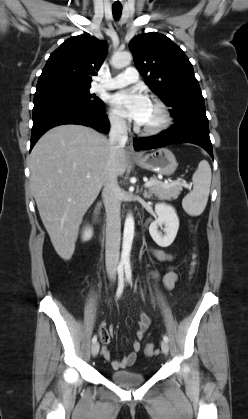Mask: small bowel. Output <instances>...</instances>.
<instances>
[{"instance_id":"obj_1","label":"small bowel","mask_w":248,"mask_h":419,"mask_svg":"<svg viewBox=\"0 0 248 419\" xmlns=\"http://www.w3.org/2000/svg\"><path fill=\"white\" fill-rule=\"evenodd\" d=\"M151 253L157 260L161 262H170L174 259V256L171 253L166 252L161 249H152ZM154 275L157 278L159 277L158 273H155ZM161 279L164 285L166 286V288L172 289L175 283L177 282L178 275L172 267H169L165 271V273L162 275ZM150 324H151L150 316L144 312H141L139 314L138 330L136 331V339L132 343V351L129 352L122 359L113 360L111 362L113 369L115 370L123 369L135 363L137 359V354L142 349L141 341L144 338L145 333L148 330ZM101 329L103 330V333H104L102 336L103 347H102L101 353L104 358L109 360L111 357V354L108 348V344L114 335V331L112 328L106 327L104 324L101 325Z\"/></svg>"}]
</instances>
